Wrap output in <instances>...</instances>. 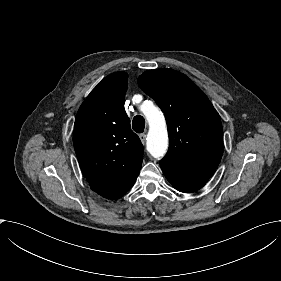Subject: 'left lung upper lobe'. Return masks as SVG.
<instances>
[{
	"instance_id": "1",
	"label": "left lung upper lobe",
	"mask_w": 281,
	"mask_h": 281,
	"mask_svg": "<svg viewBox=\"0 0 281 281\" xmlns=\"http://www.w3.org/2000/svg\"><path fill=\"white\" fill-rule=\"evenodd\" d=\"M138 84L165 114L169 149L162 160L188 169L216 170L224 149L221 119L197 85L167 68L144 72Z\"/></svg>"
}]
</instances>
